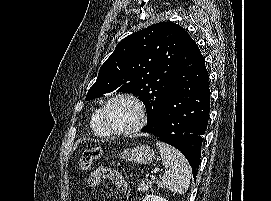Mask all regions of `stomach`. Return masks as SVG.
I'll list each match as a JSON object with an SVG mask.
<instances>
[{"label":"stomach","instance_id":"0dacf381","mask_svg":"<svg viewBox=\"0 0 271 201\" xmlns=\"http://www.w3.org/2000/svg\"><path fill=\"white\" fill-rule=\"evenodd\" d=\"M119 158L136 164H150L155 158L153 149L148 145H140L124 149L119 153Z\"/></svg>","mask_w":271,"mask_h":201}]
</instances>
